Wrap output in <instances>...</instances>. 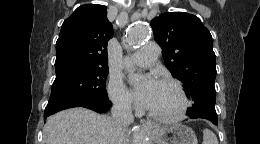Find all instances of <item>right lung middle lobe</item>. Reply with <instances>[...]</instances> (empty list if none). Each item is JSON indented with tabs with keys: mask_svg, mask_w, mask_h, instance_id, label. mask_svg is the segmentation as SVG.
I'll use <instances>...</instances> for the list:
<instances>
[{
	"mask_svg": "<svg viewBox=\"0 0 260 144\" xmlns=\"http://www.w3.org/2000/svg\"><path fill=\"white\" fill-rule=\"evenodd\" d=\"M56 70L47 108L107 100L108 66L65 65Z\"/></svg>",
	"mask_w": 260,
	"mask_h": 144,
	"instance_id": "dd1d6c3e",
	"label": "right lung middle lobe"
}]
</instances>
